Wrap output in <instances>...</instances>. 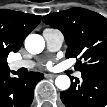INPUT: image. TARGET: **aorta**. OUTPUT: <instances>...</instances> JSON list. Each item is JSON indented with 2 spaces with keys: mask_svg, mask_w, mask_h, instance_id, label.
<instances>
[{
  "mask_svg": "<svg viewBox=\"0 0 107 107\" xmlns=\"http://www.w3.org/2000/svg\"><path fill=\"white\" fill-rule=\"evenodd\" d=\"M45 47L44 38L38 34H30L25 39V48L31 54H39ZM55 84L60 90H67L70 87V78L67 75H59Z\"/></svg>",
  "mask_w": 107,
  "mask_h": 107,
  "instance_id": "1",
  "label": "aorta"
}]
</instances>
